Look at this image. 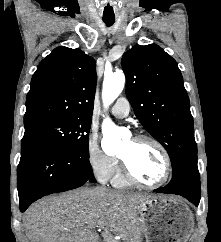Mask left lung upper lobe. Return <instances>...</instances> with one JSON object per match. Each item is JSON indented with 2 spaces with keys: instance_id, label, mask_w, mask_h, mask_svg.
<instances>
[{
  "instance_id": "1",
  "label": "left lung upper lobe",
  "mask_w": 221,
  "mask_h": 242,
  "mask_svg": "<svg viewBox=\"0 0 221 242\" xmlns=\"http://www.w3.org/2000/svg\"><path fill=\"white\" fill-rule=\"evenodd\" d=\"M121 64L126 96L143 127L167 150L172 175L197 163L190 102L176 61L150 44L128 50Z\"/></svg>"
}]
</instances>
